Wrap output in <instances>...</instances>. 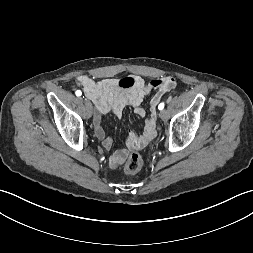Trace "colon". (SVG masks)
<instances>
[{"mask_svg":"<svg viewBox=\"0 0 253 253\" xmlns=\"http://www.w3.org/2000/svg\"><path fill=\"white\" fill-rule=\"evenodd\" d=\"M142 166V156L139 153L134 152L127 159L124 165V172L127 174H135L141 170Z\"/></svg>","mask_w":253,"mask_h":253,"instance_id":"obj_1","label":"colon"}]
</instances>
